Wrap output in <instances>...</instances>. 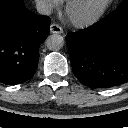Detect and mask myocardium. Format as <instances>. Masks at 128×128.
Listing matches in <instances>:
<instances>
[{
  "instance_id": "obj_1",
  "label": "myocardium",
  "mask_w": 128,
  "mask_h": 128,
  "mask_svg": "<svg viewBox=\"0 0 128 128\" xmlns=\"http://www.w3.org/2000/svg\"><path fill=\"white\" fill-rule=\"evenodd\" d=\"M80 2L81 0H67L65 6V14L74 26L83 28L96 23L105 14L112 0H103V2L94 12H92L91 14L85 17H81V18L73 17L72 11Z\"/></svg>"
}]
</instances>
